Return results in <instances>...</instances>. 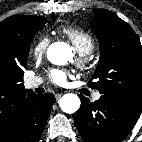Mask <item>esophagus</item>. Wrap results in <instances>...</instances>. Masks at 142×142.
<instances>
[{
	"label": "esophagus",
	"instance_id": "34e87169",
	"mask_svg": "<svg viewBox=\"0 0 142 142\" xmlns=\"http://www.w3.org/2000/svg\"><path fill=\"white\" fill-rule=\"evenodd\" d=\"M55 97H56V100H59L62 97V94L58 93V94L55 95Z\"/></svg>",
	"mask_w": 142,
	"mask_h": 142
}]
</instances>
